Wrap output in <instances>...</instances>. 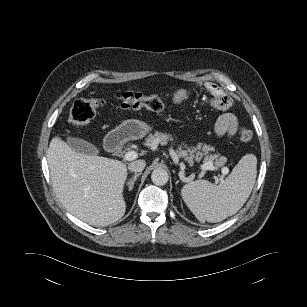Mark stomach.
<instances>
[{"mask_svg": "<svg viewBox=\"0 0 307 307\" xmlns=\"http://www.w3.org/2000/svg\"><path fill=\"white\" fill-rule=\"evenodd\" d=\"M151 129V126L144 121L128 119L112 130L110 134H115L123 141L137 140L143 138Z\"/></svg>", "mask_w": 307, "mask_h": 307, "instance_id": "stomach-1", "label": "stomach"}]
</instances>
